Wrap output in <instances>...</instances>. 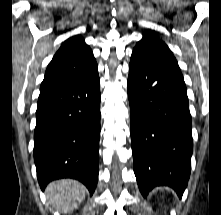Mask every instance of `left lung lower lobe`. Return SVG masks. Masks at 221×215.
<instances>
[{
  "label": "left lung lower lobe",
  "instance_id": "0a47b994",
  "mask_svg": "<svg viewBox=\"0 0 221 215\" xmlns=\"http://www.w3.org/2000/svg\"><path fill=\"white\" fill-rule=\"evenodd\" d=\"M128 98L134 173L142 195L166 185L181 198L193 142L186 86L175 57L160 49L133 51Z\"/></svg>",
  "mask_w": 221,
  "mask_h": 215
}]
</instances>
